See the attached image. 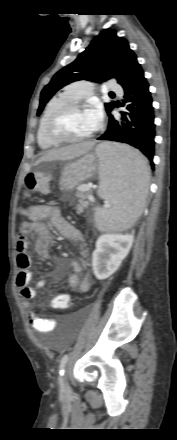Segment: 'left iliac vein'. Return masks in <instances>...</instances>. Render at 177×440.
Wrapping results in <instances>:
<instances>
[{
	"label": "left iliac vein",
	"instance_id": "1",
	"mask_svg": "<svg viewBox=\"0 0 177 440\" xmlns=\"http://www.w3.org/2000/svg\"><path fill=\"white\" fill-rule=\"evenodd\" d=\"M64 386H65V388H67L68 387V383H67V375H66V370H65V375H64Z\"/></svg>",
	"mask_w": 177,
	"mask_h": 440
}]
</instances>
